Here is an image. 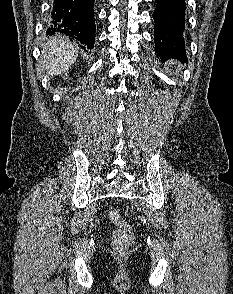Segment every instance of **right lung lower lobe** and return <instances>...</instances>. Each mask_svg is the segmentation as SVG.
Here are the masks:
<instances>
[{"instance_id":"obj_1","label":"right lung lower lobe","mask_w":233,"mask_h":294,"mask_svg":"<svg viewBox=\"0 0 233 294\" xmlns=\"http://www.w3.org/2000/svg\"><path fill=\"white\" fill-rule=\"evenodd\" d=\"M93 5L94 0H54L46 33L65 34L92 49L96 29Z\"/></svg>"}]
</instances>
